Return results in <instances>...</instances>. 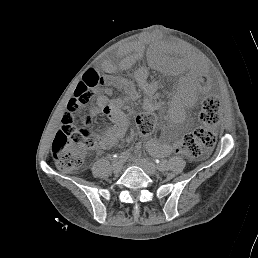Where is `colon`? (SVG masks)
Returning <instances> with one entry per match:
<instances>
[{
    "mask_svg": "<svg viewBox=\"0 0 258 258\" xmlns=\"http://www.w3.org/2000/svg\"><path fill=\"white\" fill-rule=\"evenodd\" d=\"M100 80L99 71L88 70L62 118L61 129L57 132L52 144V157L62 171L70 172L80 169L88 152L99 146V131L92 127L89 119L81 116L80 108L89 102L91 89L97 86ZM219 107L220 101L217 97L207 96L204 99L201 111L203 126L185 135L174 144L177 153L198 158L204 154L205 149L215 144L214 129L219 121ZM156 121V115L153 112L140 114L137 119L139 133H151Z\"/></svg>",
    "mask_w": 258,
    "mask_h": 258,
    "instance_id": "colon-1",
    "label": "colon"
}]
</instances>
